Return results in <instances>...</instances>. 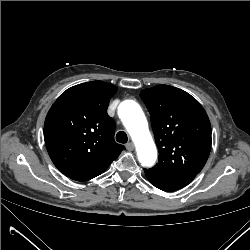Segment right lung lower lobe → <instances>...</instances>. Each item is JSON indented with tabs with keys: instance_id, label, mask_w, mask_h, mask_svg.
<instances>
[{
	"instance_id": "98d812e1",
	"label": "right lung lower lobe",
	"mask_w": 250,
	"mask_h": 250,
	"mask_svg": "<svg viewBox=\"0 0 250 250\" xmlns=\"http://www.w3.org/2000/svg\"><path fill=\"white\" fill-rule=\"evenodd\" d=\"M105 171V170H104ZM104 171L98 173V174H94V175H89V176H85V177H79L77 179H74V180H77V181H87V180H90L98 175H100L101 173H103Z\"/></svg>"
}]
</instances>
